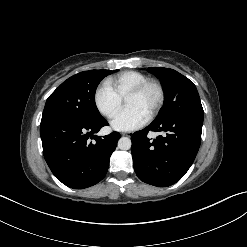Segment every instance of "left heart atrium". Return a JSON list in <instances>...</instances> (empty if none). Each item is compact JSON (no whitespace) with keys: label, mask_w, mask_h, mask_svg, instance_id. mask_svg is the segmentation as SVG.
Returning a JSON list of instances; mask_svg holds the SVG:
<instances>
[{"label":"left heart atrium","mask_w":247,"mask_h":247,"mask_svg":"<svg viewBox=\"0 0 247 247\" xmlns=\"http://www.w3.org/2000/svg\"><path fill=\"white\" fill-rule=\"evenodd\" d=\"M148 120V115L137 107H126L111 121V127L117 131H131L140 128Z\"/></svg>","instance_id":"39dd6f15"}]
</instances>
